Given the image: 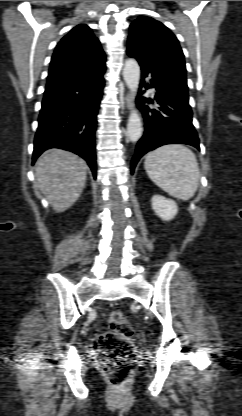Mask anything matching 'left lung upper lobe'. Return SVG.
Here are the masks:
<instances>
[{"mask_svg": "<svg viewBox=\"0 0 242 416\" xmlns=\"http://www.w3.org/2000/svg\"><path fill=\"white\" fill-rule=\"evenodd\" d=\"M127 49L147 60L165 82L188 92L184 55L175 35L161 22L140 16L130 25Z\"/></svg>", "mask_w": 242, "mask_h": 416, "instance_id": "1", "label": "left lung upper lobe"}]
</instances>
